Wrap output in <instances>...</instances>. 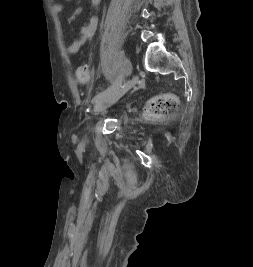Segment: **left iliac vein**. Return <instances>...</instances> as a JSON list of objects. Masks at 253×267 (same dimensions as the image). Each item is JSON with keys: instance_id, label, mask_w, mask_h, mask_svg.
Returning <instances> with one entry per match:
<instances>
[{"instance_id": "left-iliac-vein-1", "label": "left iliac vein", "mask_w": 253, "mask_h": 267, "mask_svg": "<svg viewBox=\"0 0 253 267\" xmlns=\"http://www.w3.org/2000/svg\"><path fill=\"white\" fill-rule=\"evenodd\" d=\"M134 84L135 79L132 78L128 80L124 85H122L119 89H115L111 93L107 94L103 99L96 103L94 112L105 111L108 107L117 102L120 97L127 93Z\"/></svg>"}]
</instances>
